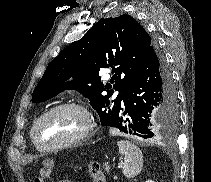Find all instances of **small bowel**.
Returning <instances> with one entry per match:
<instances>
[{
  "label": "small bowel",
  "mask_w": 211,
  "mask_h": 182,
  "mask_svg": "<svg viewBox=\"0 0 211 182\" xmlns=\"http://www.w3.org/2000/svg\"><path fill=\"white\" fill-rule=\"evenodd\" d=\"M60 182H71V181L64 180V181H60Z\"/></svg>",
  "instance_id": "c3829d8e"
}]
</instances>
